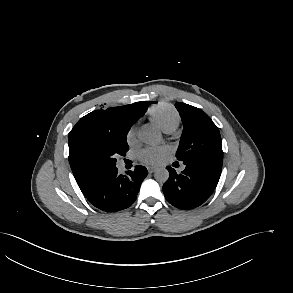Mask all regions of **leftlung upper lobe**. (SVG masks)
I'll use <instances>...</instances> for the list:
<instances>
[{"label":"left lung upper lobe","mask_w":293,"mask_h":293,"mask_svg":"<svg viewBox=\"0 0 293 293\" xmlns=\"http://www.w3.org/2000/svg\"><path fill=\"white\" fill-rule=\"evenodd\" d=\"M183 123V133L176 157L179 161L205 160L222 165L223 151L219 129L202 110L176 103Z\"/></svg>","instance_id":"left-lung-upper-lobe-1"}]
</instances>
